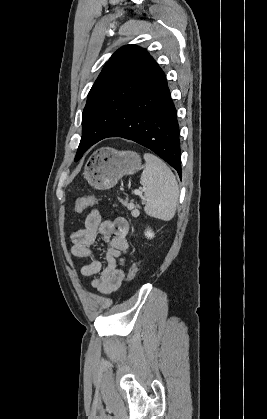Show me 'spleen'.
Here are the masks:
<instances>
[{"label":"spleen","mask_w":267,"mask_h":419,"mask_svg":"<svg viewBox=\"0 0 267 419\" xmlns=\"http://www.w3.org/2000/svg\"><path fill=\"white\" fill-rule=\"evenodd\" d=\"M145 168L140 178L144 187V211L151 217L171 220L178 205L179 187L170 168L157 156L144 154Z\"/></svg>","instance_id":"3e777b00"}]
</instances>
